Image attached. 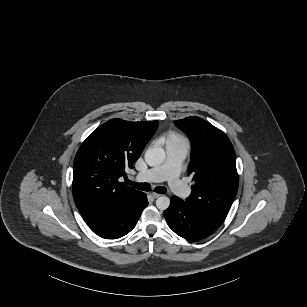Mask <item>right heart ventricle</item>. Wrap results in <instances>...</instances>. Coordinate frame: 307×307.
Returning a JSON list of instances; mask_svg holds the SVG:
<instances>
[{
  "instance_id": "obj_1",
  "label": "right heart ventricle",
  "mask_w": 307,
  "mask_h": 307,
  "mask_svg": "<svg viewBox=\"0 0 307 307\" xmlns=\"http://www.w3.org/2000/svg\"><path fill=\"white\" fill-rule=\"evenodd\" d=\"M186 141L177 135H170L167 139V147H186Z\"/></svg>"
}]
</instances>
